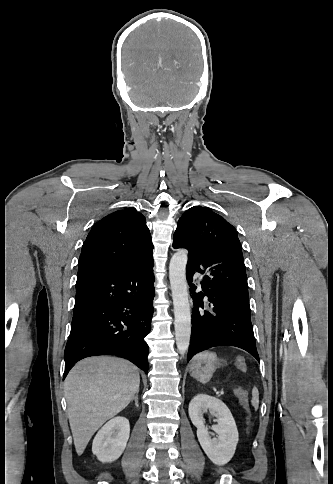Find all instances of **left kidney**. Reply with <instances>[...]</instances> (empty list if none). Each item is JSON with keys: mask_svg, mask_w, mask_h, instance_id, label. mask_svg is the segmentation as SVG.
<instances>
[{"mask_svg": "<svg viewBox=\"0 0 333 484\" xmlns=\"http://www.w3.org/2000/svg\"><path fill=\"white\" fill-rule=\"evenodd\" d=\"M208 410L217 418V425L212 430L218 435V439H212L204 425L203 414ZM189 417L197 427L198 441L209 459L216 465L228 463L235 453L239 439L236 423L228 407L220 399L198 394L189 404Z\"/></svg>", "mask_w": 333, "mask_h": 484, "instance_id": "left-kidney-1", "label": "left kidney"}]
</instances>
